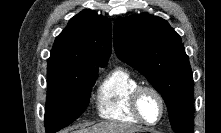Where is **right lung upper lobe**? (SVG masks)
<instances>
[{
  "instance_id": "obj_1",
  "label": "right lung upper lobe",
  "mask_w": 221,
  "mask_h": 133,
  "mask_svg": "<svg viewBox=\"0 0 221 133\" xmlns=\"http://www.w3.org/2000/svg\"><path fill=\"white\" fill-rule=\"evenodd\" d=\"M111 34L108 18L83 10L56 37L47 62V73L79 65L107 63L111 54Z\"/></svg>"
}]
</instances>
